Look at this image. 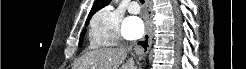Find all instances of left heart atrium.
Wrapping results in <instances>:
<instances>
[{"instance_id":"1","label":"left heart atrium","mask_w":246,"mask_h":69,"mask_svg":"<svg viewBox=\"0 0 246 69\" xmlns=\"http://www.w3.org/2000/svg\"><path fill=\"white\" fill-rule=\"evenodd\" d=\"M144 33L143 21L136 16L127 17L123 24V35L128 40L140 38Z\"/></svg>"}]
</instances>
